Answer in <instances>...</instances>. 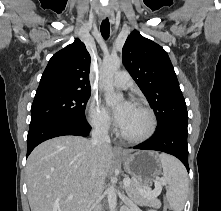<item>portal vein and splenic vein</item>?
Returning <instances> with one entry per match:
<instances>
[{
	"label": "portal vein and splenic vein",
	"mask_w": 221,
	"mask_h": 211,
	"mask_svg": "<svg viewBox=\"0 0 221 211\" xmlns=\"http://www.w3.org/2000/svg\"><path fill=\"white\" fill-rule=\"evenodd\" d=\"M131 183V179L129 178H124L123 180V184L124 186H128ZM161 183L159 181H155V189L153 191H151L149 188H147V190H141V193L145 196V197H151L154 198L161 192ZM68 200H72V196H70L68 198Z\"/></svg>",
	"instance_id": "1"
}]
</instances>
